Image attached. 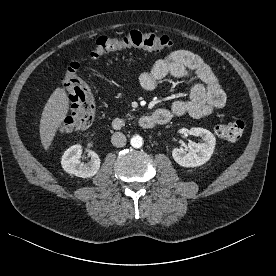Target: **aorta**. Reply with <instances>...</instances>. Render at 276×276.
Instances as JSON below:
<instances>
[{
	"label": "aorta",
	"mask_w": 276,
	"mask_h": 276,
	"mask_svg": "<svg viewBox=\"0 0 276 276\" xmlns=\"http://www.w3.org/2000/svg\"><path fill=\"white\" fill-rule=\"evenodd\" d=\"M131 146L134 148H140L143 145V138L139 135L133 136L130 140Z\"/></svg>",
	"instance_id": "762f6f07"
}]
</instances>
